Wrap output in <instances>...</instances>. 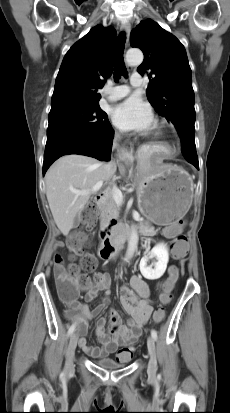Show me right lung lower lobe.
<instances>
[{
    "label": "right lung lower lobe",
    "instance_id": "98d812e1",
    "mask_svg": "<svg viewBox=\"0 0 230 413\" xmlns=\"http://www.w3.org/2000/svg\"><path fill=\"white\" fill-rule=\"evenodd\" d=\"M111 125L108 129L94 135H64L47 141L44 154L43 175L59 157L79 154L98 160H110L113 141Z\"/></svg>",
    "mask_w": 230,
    "mask_h": 413
}]
</instances>
